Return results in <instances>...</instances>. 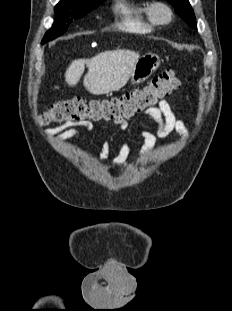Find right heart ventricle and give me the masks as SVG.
<instances>
[{
    "mask_svg": "<svg viewBox=\"0 0 232 311\" xmlns=\"http://www.w3.org/2000/svg\"><path fill=\"white\" fill-rule=\"evenodd\" d=\"M150 4L132 0H117L114 10L119 17L118 26L127 32L136 34L153 33L157 24L149 14Z\"/></svg>",
    "mask_w": 232,
    "mask_h": 311,
    "instance_id": "1",
    "label": "right heart ventricle"
}]
</instances>
